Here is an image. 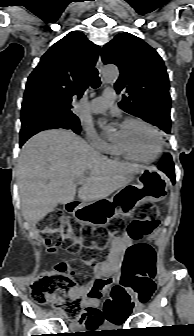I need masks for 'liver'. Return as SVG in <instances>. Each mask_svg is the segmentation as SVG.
Here are the masks:
<instances>
[{"mask_svg":"<svg viewBox=\"0 0 194 336\" xmlns=\"http://www.w3.org/2000/svg\"><path fill=\"white\" fill-rule=\"evenodd\" d=\"M141 165L108 159L71 131L48 130L30 138L22 147L17 165L24 219L34 228L58 204L76 195L85 203L107 198L124 188ZM85 172L89 177L83 178Z\"/></svg>","mask_w":194,"mask_h":336,"instance_id":"obj_1","label":"liver"}]
</instances>
